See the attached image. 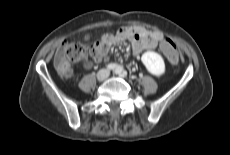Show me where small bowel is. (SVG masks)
Returning a JSON list of instances; mask_svg holds the SVG:
<instances>
[{
  "label": "small bowel",
  "mask_w": 230,
  "mask_h": 155,
  "mask_svg": "<svg viewBox=\"0 0 230 155\" xmlns=\"http://www.w3.org/2000/svg\"><path fill=\"white\" fill-rule=\"evenodd\" d=\"M101 41L106 44L107 50L100 59L96 60L97 62L104 61L108 56V49L121 42H130L133 53L139 55L145 50L156 48L158 42L165 41V38L159 30H149L142 26H123L113 33L104 34Z\"/></svg>",
  "instance_id": "c3829d8e"
}]
</instances>
